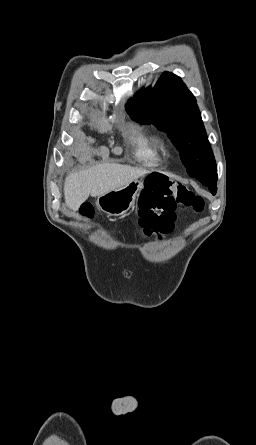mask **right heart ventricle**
<instances>
[{
    "instance_id": "obj_1",
    "label": "right heart ventricle",
    "mask_w": 256,
    "mask_h": 445,
    "mask_svg": "<svg viewBox=\"0 0 256 445\" xmlns=\"http://www.w3.org/2000/svg\"><path fill=\"white\" fill-rule=\"evenodd\" d=\"M129 141L135 156L139 160L151 166H156L161 162L162 150L160 143L142 127L134 125L131 128Z\"/></svg>"
}]
</instances>
